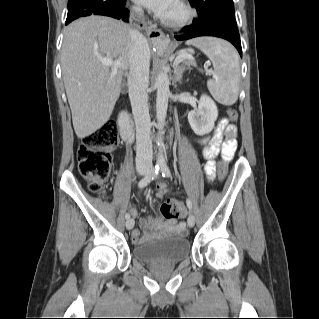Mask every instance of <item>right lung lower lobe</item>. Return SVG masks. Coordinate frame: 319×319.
<instances>
[{
	"instance_id": "1",
	"label": "right lung lower lobe",
	"mask_w": 319,
	"mask_h": 319,
	"mask_svg": "<svg viewBox=\"0 0 319 319\" xmlns=\"http://www.w3.org/2000/svg\"><path fill=\"white\" fill-rule=\"evenodd\" d=\"M126 0H121L118 3L114 4L111 8L96 11L93 13H87L89 15H103L109 16L116 19H123L126 21L128 19V10L125 8Z\"/></svg>"
}]
</instances>
